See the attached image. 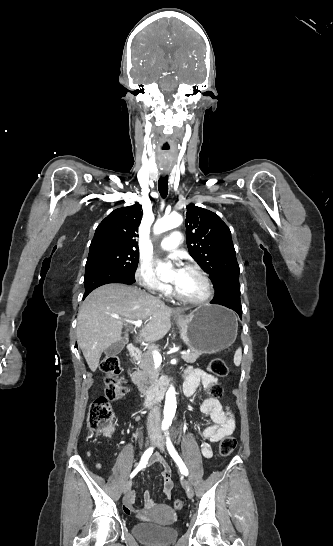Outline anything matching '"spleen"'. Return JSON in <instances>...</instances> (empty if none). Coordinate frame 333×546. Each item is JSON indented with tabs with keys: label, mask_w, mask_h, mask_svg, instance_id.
<instances>
[{
	"label": "spleen",
	"mask_w": 333,
	"mask_h": 546,
	"mask_svg": "<svg viewBox=\"0 0 333 546\" xmlns=\"http://www.w3.org/2000/svg\"><path fill=\"white\" fill-rule=\"evenodd\" d=\"M241 358H242V351H241V349L239 348V349L236 350V352H235V354H234V359H233V361H234L235 366H239V365H240V363H241Z\"/></svg>",
	"instance_id": "obj_1"
}]
</instances>
